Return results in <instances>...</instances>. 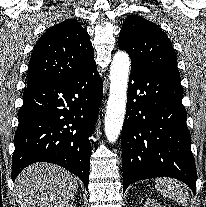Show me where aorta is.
Wrapping results in <instances>:
<instances>
[{
    "instance_id": "762f6f07",
    "label": "aorta",
    "mask_w": 206,
    "mask_h": 207,
    "mask_svg": "<svg viewBox=\"0 0 206 207\" xmlns=\"http://www.w3.org/2000/svg\"><path fill=\"white\" fill-rule=\"evenodd\" d=\"M129 68V55L118 51L110 67V93L105 114V135L110 143L118 139L123 126Z\"/></svg>"
}]
</instances>
